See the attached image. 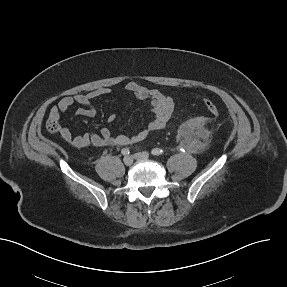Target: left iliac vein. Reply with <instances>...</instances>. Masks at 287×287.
Here are the masks:
<instances>
[{
	"mask_svg": "<svg viewBox=\"0 0 287 287\" xmlns=\"http://www.w3.org/2000/svg\"><path fill=\"white\" fill-rule=\"evenodd\" d=\"M133 158L138 161H146L149 158V153L147 152H139L133 155Z\"/></svg>",
	"mask_w": 287,
	"mask_h": 287,
	"instance_id": "1",
	"label": "left iliac vein"
}]
</instances>
